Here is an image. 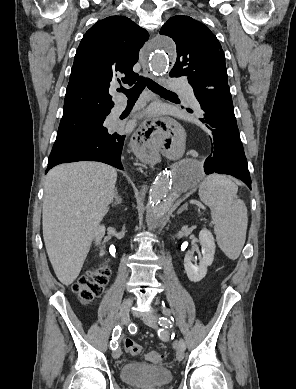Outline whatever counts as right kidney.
<instances>
[{
  "instance_id": "obj_1",
  "label": "right kidney",
  "mask_w": 296,
  "mask_h": 389,
  "mask_svg": "<svg viewBox=\"0 0 296 389\" xmlns=\"http://www.w3.org/2000/svg\"><path fill=\"white\" fill-rule=\"evenodd\" d=\"M105 235V227L104 226H99L96 230V233H95V243L96 245H98L102 238L104 237Z\"/></svg>"
}]
</instances>
